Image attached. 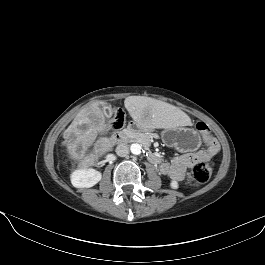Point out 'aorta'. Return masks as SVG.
Instances as JSON below:
<instances>
[{
  "instance_id": "aorta-1",
  "label": "aorta",
  "mask_w": 265,
  "mask_h": 265,
  "mask_svg": "<svg viewBox=\"0 0 265 265\" xmlns=\"http://www.w3.org/2000/svg\"><path fill=\"white\" fill-rule=\"evenodd\" d=\"M130 150H131L132 154H134V155H140L141 154V151H142V147H141L140 144L133 143L130 146Z\"/></svg>"
}]
</instances>
